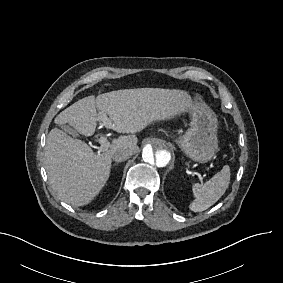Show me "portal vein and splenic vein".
Instances as JSON below:
<instances>
[{"label": "portal vein and splenic vein", "mask_w": 283, "mask_h": 283, "mask_svg": "<svg viewBox=\"0 0 283 283\" xmlns=\"http://www.w3.org/2000/svg\"><path fill=\"white\" fill-rule=\"evenodd\" d=\"M101 121L103 122V126L105 127V129L111 130V129L114 128V124L110 121V119H108L107 116L102 117ZM107 140H108V138H107L106 134H103L100 137L99 142L101 143V146L99 148V152H104L108 149L109 144L107 143Z\"/></svg>", "instance_id": "obj_1"}]
</instances>
